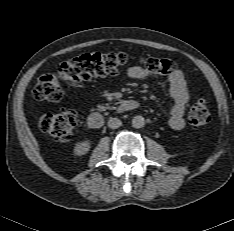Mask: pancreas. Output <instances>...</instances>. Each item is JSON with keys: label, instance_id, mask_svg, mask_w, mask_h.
I'll use <instances>...</instances> for the list:
<instances>
[{"label": "pancreas", "instance_id": "pancreas-1", "mask_svg": "<svg viewBox=\"0 0 234 231\" xmlns=\"http://www.w3.org/2000/svg\"><path fill=\"white\" fill-rule=\"evenodd\" d=\"M98 109L100 110V111H104V110H106V109H110V106H109V104H105V105H98Z\"/></svg>", "mask_w": 234, "mask_h": 231}]
</instances>
